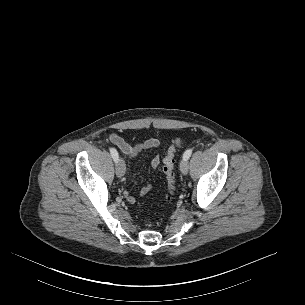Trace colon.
<instances>
[{"mask_svg":"<svg viewBox=\"0 0 305 305\" xmlns=\"http://www.w3.org/2000/svg\"><path fill=\"white\" fill-rule=\"evenodd\" d=\"M181 146V140L176 138L167 150L166 156L163 160V171L168 184V193L165 197L167 201H170L175 191V153Z\"/></svg>","mask_w":305,"mask_h":305,"instance_id":"1","label":"colon"}]
</instances>
